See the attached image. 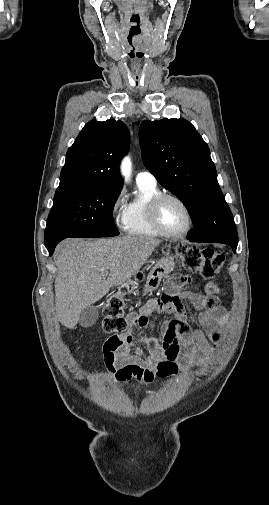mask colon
I'll list each match as a JSON object with an SVG mask.
<instances>
[{"label": "colon", "mask_w": 269, "mask_h": 505, "mask_svg": "<svg viewBox=\"0 0 269 505\" xmlns=\"http://www.w3.org/2000/svg\"><path fill=\"white\" fill-rule=\"evenodd\" d=\"M178 253L183 259L185 268L192 273L201 274L203 281H219L221 279L220 271L225 260L222 253L213 249H200L186 245L179 246ZM143 277V273H138L135 280L124 283L117 292L106 298L102 325L106 333L112 334L110 338L128 332L130 324L124 316L125 297L134 291L137 282L142 281ZM170 298L174 297L170 296Z\"/></svg>", "instance_id": "1"}]
</instances>
